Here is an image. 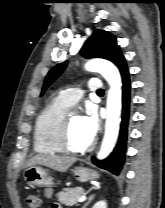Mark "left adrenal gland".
Returning <instances> with one entry per match:
<instances>
[{
    "label": "left adrenal gland",
    "mask_w": 165,
    "mask_h": 208,
    "mask_svg": "<svg viewBox=\"0 0 165 208\" xmlns=\"http://www.w3.org/2000/svg\"><path fill=\"white\" fill-rule=\"evenodd\" d=\"M94 197H95V195H94V194L90 195V196L88 197L87 202L83 205V207H82V208H86V207H87V205H89V203L93 200V198H94Z\"/></svg>",
    "instance_id": "left-adrenal-gland-1"
}]
</instances>
